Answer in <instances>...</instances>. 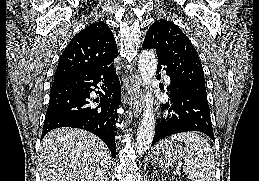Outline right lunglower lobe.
<instances>
[{
    "mask_svg": "<svg viewBox=\"0 0 259 181\" xmlns=\"http://www.w3.org/2000/svg\"><path fill=\"white\" fill-rule=\"evenodd\" d=\"M102 89L95 91V89ZM95 91L99 98L92 100ZM120 81L111 63L99 69L81 71L52 84L41 139L59 127H75L100 137L116 157L117 108L121 102ZM93 102L99 105L93 106Z\"/></svg>",
    "mask_w": 259,
    "mask_h": 181,
    "instance_id": "98d812e1",
    "label": "right lung lower lobe"
}]
</instances>
